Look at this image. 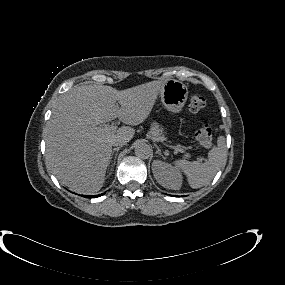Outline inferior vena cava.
<instances>
[{
    "mask_svg": "<svg viewBox=\"0 0 285 285\" xmlns=\"http://www.w3.org/2000/svg\"><path fill=\"white\" fill-rule=\"evenodd\" d=\"M127 142H128V140L126 137L119 136L113 140L112 144H113V146L122 147L123 145H126Z\"/></svg>",
    "mask_w": 285,
    "mask_h": 285,
    "instance_id": "obj_1",
    "label": "inferior vena cava"
}]
</instances>
